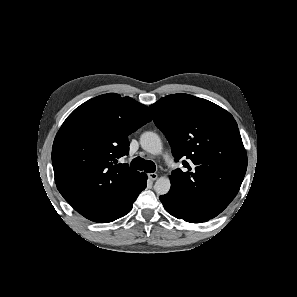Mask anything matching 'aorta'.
<instances>
[{
	"label": "aorta",
	"instance_id": "762f6f07",
	"mask_svg": "<svg viewBox=\"0 0 297 297\" xmlns=\"http://www.w3.org/2000/svg\"><path fill=\"white\" fill-rule=\"evenodd\" d=\"M141 147L148 153L157 155L162 152V142L160 137L154 132H145L140 137ZM171 187L170 179L168 177H160L156 180L154 190L157 195H165L169 192Z\"/></svg>",
	"mask_w": 297,
	"mask_h": 297
}]
</instances>
